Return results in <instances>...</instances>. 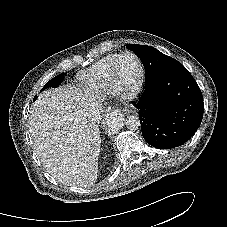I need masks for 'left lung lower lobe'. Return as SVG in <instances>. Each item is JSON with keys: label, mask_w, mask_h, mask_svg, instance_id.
<instances>
[{"label": "left lung lower lobe", "mask_w": 227, "mask_h": 227, "mask_svg": "<svg viewBox=\"0 0 227 227\" xmlns=\"http://www.w3.org/2000/svg\"><path fill=\"white\" fill-rule=\"evenodd\" d=\"M144 54L148 61L155 57L147 50ZM134 106L144 139L159 149H171L190 139L201 124L204 109L201 90L184 67L145 83Z\"/></svg>", "instance_id": "1"}]
</instances>
